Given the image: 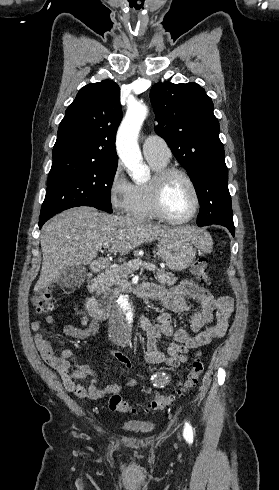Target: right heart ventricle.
Instances as JSON below:
<instances>
[{
  "label": "right heart ventricle",
  "instance_id": "right-heart-ventricle-1",
  "mask_svg": "<svg viewBox=\"0 0 279 490\" xmlns=\"http://www.w3.org/2000/svg\"><path fill=\"white\" fill-rule=\"evenodd\" d=\"M149 163L156 171L165 168L168 162L162 163L157 160L148 159ZM153 183L149 181L143 184L135 185V204L129 213V216L149 220L158 218L152 206Z\"/></svg>",
  "mask_w": 279,
  "mask_h": 490
}]
</instances>
